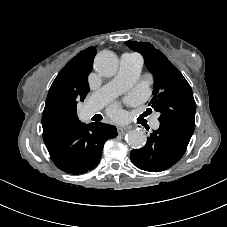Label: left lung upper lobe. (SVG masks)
Returning a JSON list of instances; mask_svg holds the SVG:
<instances>
[{
	"instance_id": "obj_1",
	"label": "left lung upper lobe",
	"mask_w": 227,
	"mask_h": 227,
	"mask_svg": "<svg viewBox=\"0 0 227 227\" xmlns=\"http://www.w3.org/2000/svg\"><path fill=\"white\" fill-rule=\"evenodd\" d=\"M126 44L142 54L154 77L149 109L160 113L159 121L175 122L194 129L196 103L192 89L181 72L152 44L136 41H126Z\"/></svg>"
}]
</instances>
